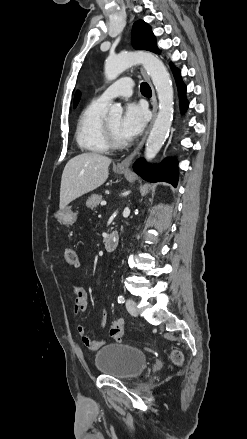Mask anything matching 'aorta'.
I'll return each mask as SVG.
<instances>
[{"instance_id":"1","label":"aorta","mask_w":247,"mask_h":439,"mask_svg":"<svg viewBox=\"0 0 247 439\" xmlns=\"http://www.w3.org/2000/svg\"><path fill=\"white\" fill-rule=\"evenodd\" d=\"M143 64L147 74L155 86L159 112L149 134L145 147V158L151 161L163 146L173 119V86L170 75L163 62L151 53L123 52L109 57L105 61L104 74L107 80L116 79L124 70L136 64ZM123 109L118 104H112L110 117H120Z\"/></svg>"}]
</instances>
